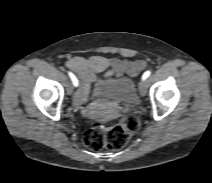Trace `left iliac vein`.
<instances>
[{
	"mask_svg": "<svg viewBox=\"0 0 212 183\" xmlns=\"http://www.w3.org/2000/svg\"><path fill=\"white\" fill-rule=\"evenodd\" d=\"M139 90L142 95H145L147 93V85H146L145 80H141L139 82Z\"/></svg>",
	"mask_w": 212,
	"mask_h": 183,
	"instance_id": "obj_1",
	"label": "left iliac vein"
}]
</instances>
